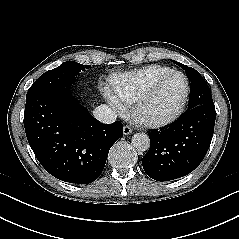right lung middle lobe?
Listing matches in <instances>:
<instances>
[{"instance_id":"dd1d6c3e","label":"right lung middle lobe","mask_w":239,"mask_h":239,"mask_svg":"<svg viewBox=\"0 0 239 239\" xmlns=\"http://www.w3.org/2000/svg\"><path fill=\"white\" fill-rule=\"evenodd\" d=\"M90 65H82L74 61H66L59 67L42 74L29 88L27 96L59 87H68L76 81L75 76Z\"/></svg>"}]
</instances>
